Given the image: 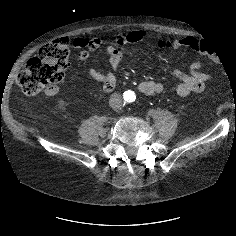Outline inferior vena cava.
<instances>
[{
    "instance_id": "obj_1",
    "label": "inferior vena cava",
    "mask_w": 236,
    "mask_h": 236,
    "mask_svg": "<svg viewBox=\"0 0 236 236\" xmlns=\"http://www.w3.org/2000/svg\"><path fill=\"white\" fill-rule=\"evenodd\" d=\"M109 105L113 109H120L122 106V96L118 93H113L110 96Z\"/></svg>"
}]
</instances>
